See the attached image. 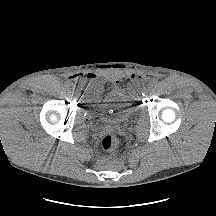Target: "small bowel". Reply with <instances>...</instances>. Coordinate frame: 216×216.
I'll return each mask as SVG.
<instances>
[{
    "label": "small bowel",
    "instance_id": "obj_1",
    "mask_svg": "<svg viewBox=\"0 0 216 216\" xmlns=\"http://www.w3.org/2000/svg\"><path fill=\"white\" fill-rule=\"evenodd\" d=\"M95 75L92 73L86 74V78L88 79L89 84L91 85V88L93 89V91L102 88L101 85L95 81ZM131 80L137 81L141 79V76L138 74H132L130 75ZM79 79V75H73L70 77V80L72 82H75Z\"/></svg>",
    "mask_w": 216,
    "mask_h": 216
}]
</instances>
